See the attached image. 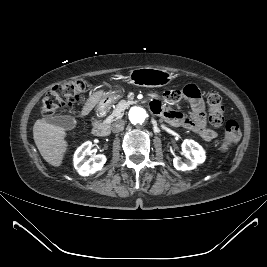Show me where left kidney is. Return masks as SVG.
Listing matches in <instances>:
<instances>
[{
	"label": "left kidney",
	"mask_w": 267,
	"mask_h": 267,
	"mask_svg": "<svg viewBox=\"0 0 267 267\" xmlns=\"http://www.w3.org/2000/svg\"><path fill=\"white\" fill-rule=\"evenodd\" d=\"M182 150L190 161L182 162L179 157L173 158V165L177 170H193L198 164H201L205 161V151L194 140L185 139L182 143Z\"/></svg>",
	"instance_id": "left-kidney-1"
}]
</instances>
